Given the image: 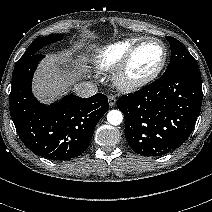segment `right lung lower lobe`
<instances>
[{"instance_id": "obj_1", "label": "right lung lower lobe", "mask_w": 212, "mask_h": 212, "mask_svg": "<svg viewBox=\"0 0 212 212\" xmlns=\"http://www.w3.org/2000/svg\"><path fill=\"white\" fill-rule=\"evenodd\" d=\"M44 56L33 54L17 61L12 75L10 113L19 137L35 154L51 160H69L88 147L94 129L108 111L105 95L90 98L67 95L44 105L31 91L33 73Z\"/></svg>"}]
</instances>
